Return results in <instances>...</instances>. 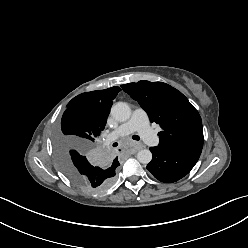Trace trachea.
I'll return each mask as SVG.
<instances>
[{"mask_svg": "<svg viewBox=\"0 0 248 248\" xmlns=\"http://www.w3.org/2000/svg\"><path fill=\"white\" fill-rule=\"evenodd\" d=\"M132 138H133L134 140H137V141L140 140V137H139L138 135H133ZM116 146H117V145H116Z\"/></svg>", "mask_w": 248, "mask_h": 248, "instance_id": "trachea-1", "label": "trachea"}]
</instances>
